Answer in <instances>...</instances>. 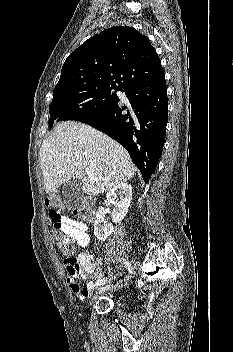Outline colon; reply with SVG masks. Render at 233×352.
Segmentation results:
<instances>
[{"label": "colon", "mask_w": 233, "mask_h": 352, "mask_svg": "<svg viewBox=\"0 0 233 352\" xmlns=\"http://www.w3.org/2000/svg\"><path fill=\"white\" fill-rule=\"evenodd\" d=\"M74 214L78 216L82 221L91 222L95 218V209L92 198L86 197L81 202L80 206L74 210ZM51 239L60 251L72 257L77 250V245L74 241L69 239L68 236L63 234L61 231L54 229L51 231Z\"/></svg>", "instance_id": "obj_1"}]
</instances>
